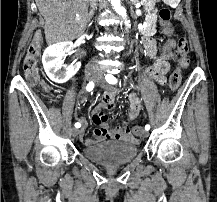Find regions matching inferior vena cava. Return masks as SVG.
<instances>
[{
    "instance_id": "602c4592",
    "label": "inferior vena cava",
    "mask_w": 217,
    "mask_h": 202,
    "mask_svg": "<svg viewBox=\"0 0 217 202\" xmlns=\"http://www.w3.org/2000/svg\"><path fill=\"white\" fill-rule=\"evenodd\" d=\"M90 4H91V6L93 8V6H96V0H90Z\"/></svg>"
}]
</instances>
